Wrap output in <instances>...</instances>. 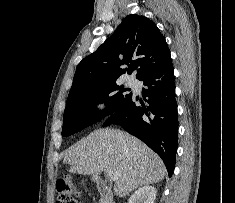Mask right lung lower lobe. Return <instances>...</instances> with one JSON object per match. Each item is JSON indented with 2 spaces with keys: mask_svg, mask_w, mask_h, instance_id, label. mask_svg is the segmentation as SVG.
<instances>
[{
  "mask_svg": "<svg viewBox=\"0 0 235 203\" xmlns=\"http://www.w3.org/2000/svg\"><path fill=\"white\" fill-rule=\"evenodd\" d=\"M147 88L142 95L147 105L136 106L132 95L104 122L103 127L120 125L146 143L163 160L169 176L175 167L178 116L174 69L171 61L146 72L141 78Z\"/></svg>",
  "mask_w": 235,
  "mask_h": 203,
  "instance_id": "98d812e1",
  "label": "right lung lower lobe"
}]
</instances>
